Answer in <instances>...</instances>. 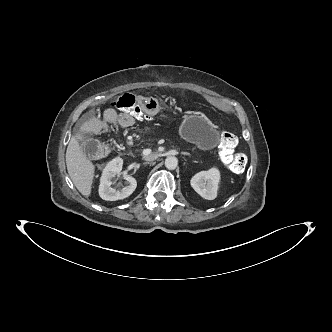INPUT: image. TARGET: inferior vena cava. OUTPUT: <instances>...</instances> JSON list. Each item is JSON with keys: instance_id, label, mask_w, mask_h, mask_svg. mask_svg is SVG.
<instances>
[{"instance_id": "1", "label": "inferior vena cava", "mask_w": 332, "mask_h": 332, "mask_svg": "<svg viewBox=\"0 0 332 332\" xmlns=\"http://www.w3.org/2000/svg\"><path fill=\"white\" fill-rule=\"evenodd\" d=\"M157 157H158L157 153H150L149 155H145L144 156V160H146V161H153V160H156Z\"/></svg>"}]
</instances>
